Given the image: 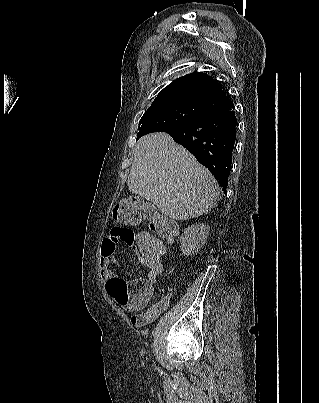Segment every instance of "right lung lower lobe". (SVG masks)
Instances as JSON below:
<instances>
[{"label":"right lung lower lobe","instance_id":"right-lung-lower-lobe-1","mask_svg":"<svg viewBox=\"0 0 319 403\" xmlns=\"http://www.w3.org/2000/svg\"><path fill=\"white\" fill-rule=\"evenodd\" d=\"M236 126V116L231 109L210 113L188 124L166 127L159 132L168 133L175 142L188 149L226 192Z\"/></svg>","mask_w":319,"mask_h":403}]
</instances>
